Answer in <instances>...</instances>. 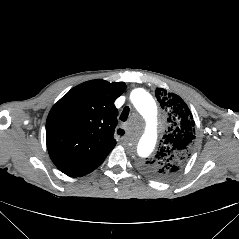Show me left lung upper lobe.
Here are the masks:
<instances>
[{
	"label": "left lung upper lobe",
	"instance_id": "obj_1",
	"mask_svg": "<svg viewBox=\"0 0 239 239\" xmlns=\"http://www.w3.org/2000/svg\"><path fill=\"white\" fill-rule=\"evenodd\" d=\"M169 123L168 133L156 155L142 164V170L157 180L175 177L185 167L195 142V122L186 103L163 88L155 91Z\"/></svg>",
	"mask_w": 239,
	"mask_h": 239
}]
</instances>
